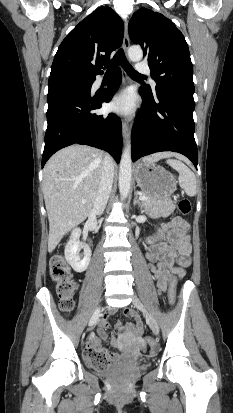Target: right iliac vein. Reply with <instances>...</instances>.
Wrapping results in <instances>:
<instances>
[{"mask_svg":"<svg viewBox=\"0 0 233 413\" xmlns=\"http://www.w3.org/2000/svg\"><path fill=\"white\" fill-rule=\"evenodd\" d=\"M100 309H97L94 314L92 315V320H96L99 315Z\"/></svg>","mask_w":233,"mask_h":413,"instance_id":"1","label":"right iliac vein"}]
</instances>
